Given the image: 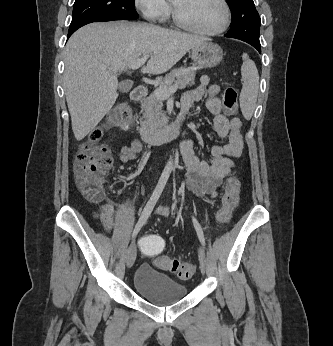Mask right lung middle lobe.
<instances>
[{"label": "right lung middle lobe", "instance_id": "1", "mask_svg": "<svg viewBox=\"0 0 333 346\" xmlns=\"http://www.w3.org/2000/svg\"><path fill=\"white\" fill-rule=\"evenodd\" d=\"M134 0H75L69 32L92 22L135 20Z\"/></svg>", "mask_w": 333, "mask_h": 346}]
</instances>
